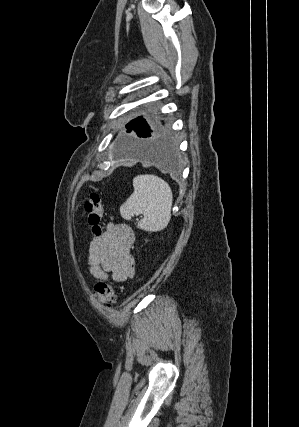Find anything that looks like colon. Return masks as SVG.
Returning a JSON list of instances; mask_svg holds the SVG:
<instances>
[{
	"label": "colon",
	"instance_id": "obj_1",
	"mask_svg": "<svg viewBox=\"0 0 299 427\" xmlns=\"http://www.w3.org/2000/svg\"><path fill=\"white\" fill-rule=\"evenodd\" d=\"M83 205L92 233L96 237L101 236L102 230L100 222L103 217V203L100 195L95 192L89 193L84 200ZM95 295L100 302L105 304L112 305L117 301V295L113 286L106 281L97 282L95 285Z\"/></svg>",
	"mask_w": 299,
	"mask_h": 427
}]
</instances>
